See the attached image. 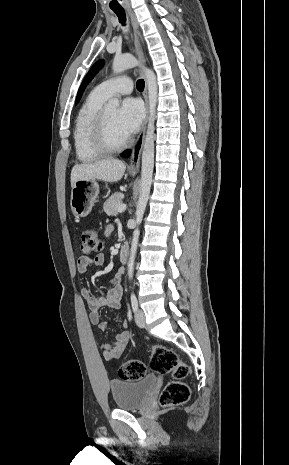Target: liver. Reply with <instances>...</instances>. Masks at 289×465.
Instances as JSON below:
<instances>
[{"label":"liver","instance_id":"1","mask_svg":"<svg viewBox=\"0 0 289 465\" xmlns=\"http://www.w3.org/2000/svg\"><path fill=\"white\" fill-rule=\"evenodd\" d=\"M126 165L117 159H105L94 163L78 164L71 171V187L78 180L98 179L105 182L119 181L125 172Z\"/></svg>","mask_w":289,"mask_h":465}]
</instances>
